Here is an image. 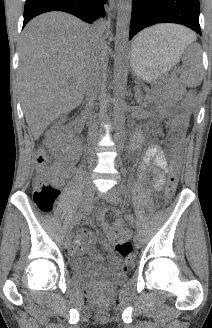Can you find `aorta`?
Returning a JSON list of instances; mask_svg holds the SVG:
<instances>
[{
	"label": "aorta",
	"instance_id": "762f6f07",
	"mask_svg": "<svg viewBox=\"0 0 212 328\" xmlns=\"http://www.w3.org/2000/svg\"><path fill=\"white\" fill-rule=\"evenodd\" d=\"M132 0H118L117 26L114 57V98L113 111L116 135L123 136L125 123V87L127 77V47L131 21Z\"/></svg>",
	"mask_w": 212,
	"mask_h": 328
}]
</instances>
